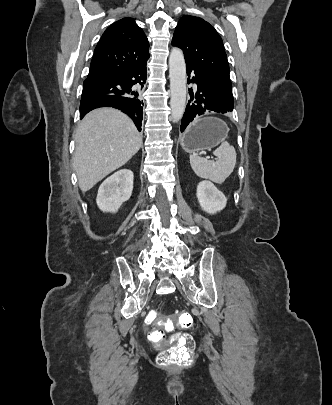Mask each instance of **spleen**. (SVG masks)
Segmentation results:
<instances>
[{
  "mask_svg": "<svg viewBox=\"0 0 332 405\" xmlns=\"http://www.w3.org/2000/svg\"><path fill=\"white\" fill-rule=\"evenodd\" d=\"M216 161H210L196 154L190 155V165L194 173L203 179L222 184L233 172L236 164V151L227 141L213 151Z\"/></svg>",
  "mask_w": 332,
  "mask_h": 405,
  "instance_id": "obj_1",
  "label": "spleen"
}]
</instances>
